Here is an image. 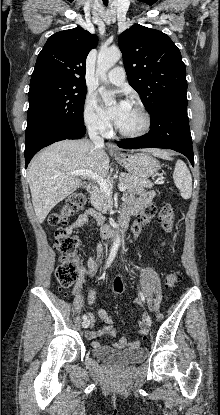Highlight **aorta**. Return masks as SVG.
Listing matches in <instances>:
<instances>
[{"mask_svg":"<svg viewBox=\"0 0 220 415\" xmlns=\"http://www.w3.org/2000/svg\"><path fill=\"white\" fill-rule=\"evenodd\" d=\"M121 58V52L119 49H101L98 54L96 73L101 78L106 79L107 71L113 67ZM103 101L106 105H111L115 102L114 98L110 95H104ZM120 237L117 235L115 238V244H120Z\"/></svg>","mask_w":220,"mask_h":415,"instance_id":"762f6f07","label":"aorta"}]
</instances>
